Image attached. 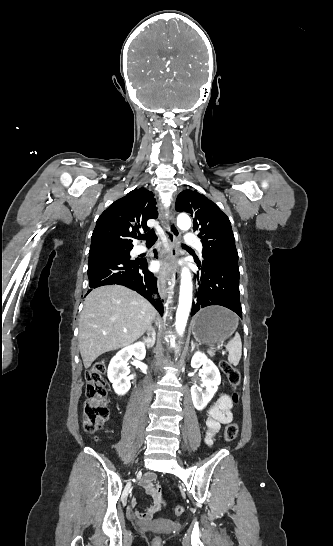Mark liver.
Masks as SVG:
<instances>
[{
  "instance_id": "1",
  "label": "liver",
  "mask_w": 333,
  "mask_h": 546,
  "mask_svg": "<svg viewBox=\"0 0 333 546\" xmlns=\"http://www.w3.org/2000/svg\"><path fill=\"white\" fill-rule=\"evenodd\" d=\"M156 315L146 299L124 286L91 291L79 319L78 346L85 368L100 355L138 340Z\"/></svg>"
}]
</instances>
